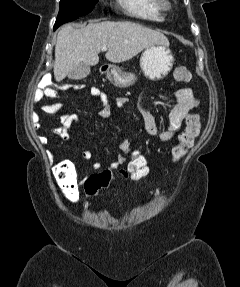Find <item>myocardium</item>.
I'll return each instance as SVG.
<instances>
[{"mask_svg":"<svg viewBox=\"0 0 240 287\" xmlns=\"http://www.w3.org/2000/svg\"><path fill=\"white\" fill-rule=\"evenodd\" d=\"M159 6L162 11H169L172 7L168 0H159Z\"/></svg>","mask_w":240,"mask_h":287,"instance_id":"1","label":"myocardium"}]
</instances>
